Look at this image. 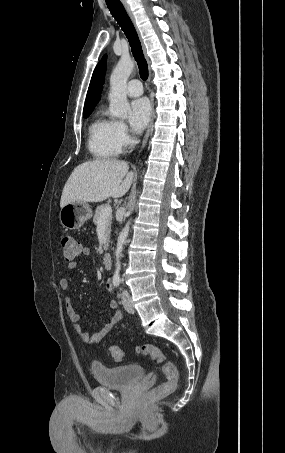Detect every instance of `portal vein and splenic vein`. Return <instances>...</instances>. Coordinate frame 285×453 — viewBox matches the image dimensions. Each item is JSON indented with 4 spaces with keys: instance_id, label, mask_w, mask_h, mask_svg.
Listing matches in <instances>:
<instances>
[{
    "instance_id": "18ae733b",
    "label": "portal vein and splenic vein",
    "mask_w": 285,
    "mask_h": 453,
    "mask_svg": "<svg viewBox=\"0 0 285 453\" xmlns=\"http://www.w3.org/2000/svg\"><path fill=\"white\" fill-rule=\"evenodd\" d=\"M112 208L110 206L105 207L101 212V218H106L107 216L111 215Z\"/></svg>"
}]
</instances>
